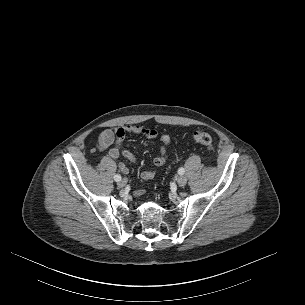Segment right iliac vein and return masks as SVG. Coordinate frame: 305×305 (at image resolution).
I'll return each instance as SVG.
<instances>
[{
	"label": "right iliac vein",
	"mask_w": 305,
	"mask_h": 305,
	"mask_svg": "<svg viewBox=\"0 0 305 305\" xmlns=\"http://www.w3.org/2000/svg\"><path fill=\"white\" fill-rule=\"evenodd\" d=\"M127 184L126 179H122L118 182V187L123 188Z\"/></svg>",
	"instance_id": "obj_1"
}]
</instances>
